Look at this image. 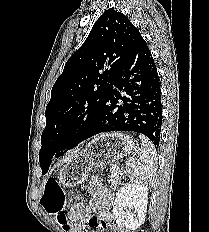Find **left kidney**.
<instances>
[{
    "label": "left kidney",
    "mask_w": 209,
    "mask_h": 232,
    "mask_svg": "<svg viewBox=\"0 0 209 232\" xmlns=\"http://www.w3.org/2000/svg\"><path fill=\"white\" fill-rule=\"evenodd\" d=\"M148 187L138 181L127 183L118 191L113 213L118 227L135 230L145 221ZM135 209V214L131 212Z\"/></svg>",
    "instance_id": "5707ae66"
}]
</instances>
